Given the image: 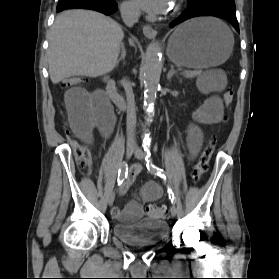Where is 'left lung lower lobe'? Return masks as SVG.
<instances>
[{"instance_id": "1", "label": "left lung lower lobe", "mask_w": 279, "mask_h": 279, "mask_svg": "<svg viewBox=\"0 0 279 279\" xmlns=\"http://www.w3.org/2000/svg\"><path fill=\"white\" fill-rule=\"evenodd\" d=\"M188 8L170 26L197 16H215L230 22L239 32L234 0H187Z\"/></svg>"}]
</instances>
